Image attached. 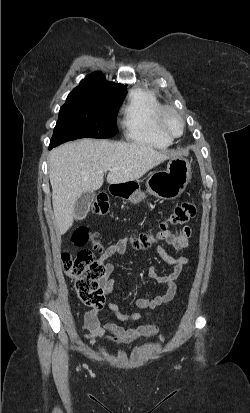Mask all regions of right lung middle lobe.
I'll use <instances>...</instances> for the list:
<instances>
[{"instance_id":"dd1d6c3e","label":"right lung middle lobe","mask_w":250,"mask_h":413,"mask_svg":"<svg viewBox=\"0 0 250 413\" xmlns=\"http://www.w3.org/2000/svg\"><path fill=\"white\" fill-rule=\"evenodd\" d=\"M125 96L73 90L60 108L49 146L56 147L78 138L114 136L118 108Z\"/></svg>"}]
</instances>
